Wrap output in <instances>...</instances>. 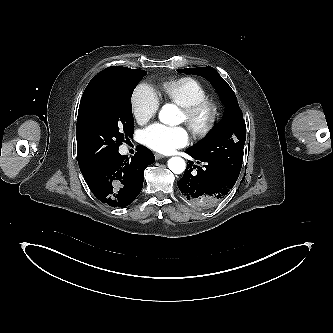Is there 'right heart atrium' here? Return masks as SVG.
<instances>
[{"instance_id":"1","label":"right heart atrium","mask_w":333,"mask_h":333,"mask_svg":"<svg viewBox=\"0 0 333 333\" xmlns=\"http://www.w3.org/2000/svg\"><path fill=\"white\" fill-rule=\"evenodd\" d=\"M159 98L147 84H140L131 99L132 113L139 123L150 120L158 111Z\"/></svg>"}]
</instances>
